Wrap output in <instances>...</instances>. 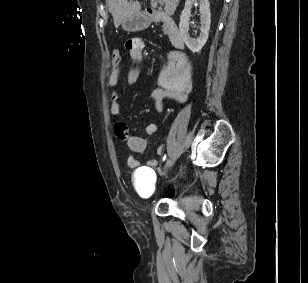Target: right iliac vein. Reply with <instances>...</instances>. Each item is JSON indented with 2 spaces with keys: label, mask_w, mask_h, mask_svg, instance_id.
Instances as JSON below:
<instances>
[{
  "label": "right iliac vein",
  "mask_w": 308,
  "mask_h": 283,
  "mask_svg": "<svg viewBox=\"0 0 308 283\" xmlns=\"http://www.w3.org/2000/svg\"><path fill=\"white\" fill-rule=\"evenodd\" d=\"M173 160H174L173 156H171V157L167 160L166 165H165V172L171 167V165H172V163H173Z\"/></svg>",
  "instance_id": "right-iliac-vein-1"
}]
</instances>
